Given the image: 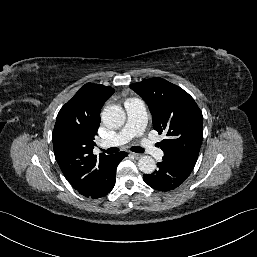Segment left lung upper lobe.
Returning <instances> with one entry per match:
<instances>
[{
    "instance_id": "obj_1",
    "label": "left lung upper lobe",
    "mask_w": 257,
    "mask_h": 257,
    "mask_svg": "<svg viewBox=\"0 0 257 257\" xmlns=\"http://www.w3.org/2000/svg\"><path fill=\"white\" fill-rule=\"evenodd\" d=\"M130 88L149 106L153 127L167 138L159 146L163 159L192 171L203 138L202 112L182 88L159 77L133 83Z\"/></svg>"
}]
</instances>
